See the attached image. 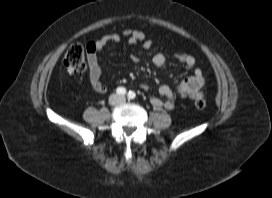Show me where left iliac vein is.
<instances>
[{
	"label": "left iliac vein",
	"instance_id": "left-iliac-vein-1",
	"mask_svg": "<svg viewBox=\"0 0 272 198\" xmlns=\"http://www.w3.org/2000/svg\"><path fill=\"white\" fill-rule=\"evenodd\" d=\"M121 101H124V98H121Z\"/></svg>",
	"mask_w": 272,
	"mask_h": 198
}]
</instances>
